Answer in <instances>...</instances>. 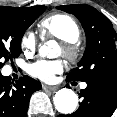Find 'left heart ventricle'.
Instances as JSON below:
<instances>
[{"instance_id": "left-heart-ventricle-1", "label": "left heart ventricle", "mask_w": 117, "mask_h": 117, "mask_svg": "<svg viewBox=\"0 0 117 117\" xmlns=\"http://www.w3.org/2000/svg\"><path fill=\"white\" fill-rule=\"evenodd\" d=\"M60 53H62V48H61V47H60V49H59V54H60Z\"/></svg>"}]
</instances>
